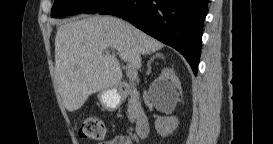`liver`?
I'll return each instance as SVG.
<instances>
[{
	"label": "liver",
	"mask_w": 273,
	"mask_h": 144,
	"mask_svg": "<svg viewBox=\"0 0 273 144\" xmlns=\"http://www.w3.org/2000/svg\"><path fill=\"white\" fill-rule=\"evenodd\" d=\"M163 47L117 17L93 16L63 23L55 37V75L65 108L76 111L91 94L119 86L122 70L109 49L117 50L122 60L139 69L141 55Z\"/></svg>",
	"instance_id": "1"
}]
</instances>
